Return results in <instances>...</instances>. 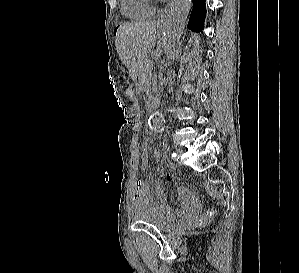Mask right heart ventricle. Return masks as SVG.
Here are the masks:
<instances>
[{
	"label": "right heart ventricle",
	"instance_id": "obj_1",
	"mask_svg": "<svg viewBox=\"0 0 299 273\" xmlns=\"http://www.w3.org/2000/svg\"><path fill=\"white\" fill-rule=\"evenodd\" d=\"M121 11L131 20H144L154 13L150 0H122Z\"/></svg>",
	"mask_w": 299,
	"mask_h": 273
}]
</instances>
